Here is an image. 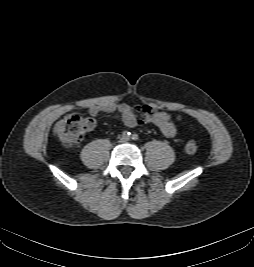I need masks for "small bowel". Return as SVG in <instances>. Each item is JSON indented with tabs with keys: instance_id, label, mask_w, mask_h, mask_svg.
Here are the masks:
<instances>
[{
	"instance_id": "small-bowel-1",
	"label": "small bowel",
	"mask_w": 254,
	"mask_h": 267,
	"mask_svg": "<svg viewBox=\"0 0 254 267\" xmlns=\"http://www.w3.org/2000/svg\"><path fill=\"white\" fill-rule=\"evenodd\" d=\"M92 117L101 113L118 114L127 127H135L138 124H153L167 137H173L176 134V125L171 114L158 111L150 106H138L133 109L125 103H102L93 105L88 109ZM180 118L177 117V120Z\"/></svg>"
}]
</instances>
